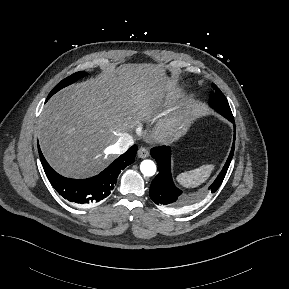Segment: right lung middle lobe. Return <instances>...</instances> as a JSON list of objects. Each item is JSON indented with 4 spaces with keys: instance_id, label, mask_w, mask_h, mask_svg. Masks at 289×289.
<instances>
[{
    "instance_id": "obj_1",
    "label": "right lung middle lobe",
    "mask_w": 289,
    "mask_h": 289,
    "mask_svg": "<svg viewBox=\"0 0 289 289\" xmlns=\"http://www.w3.org/2000/svg\"><path fill=\"white\" fill-rule=\"evenodd\" d=\"M87 75L86 72L80 71L77 73L72 74L71 76L65 78L64 80H62L61 82H59L49 93L47 100L53 95L55 94L57 91H59L60 89L74 83L75 81H77L79 78L85 77Z\"/></svg>"
}]
</instances>
